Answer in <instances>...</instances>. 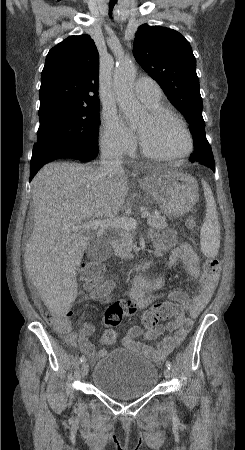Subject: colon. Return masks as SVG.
Here are the masks:
<instances>
[{
    "label": "colon",
    "mask_w": 245,
    "mask_h": 450,
    "mask_svg": "<svg viewBox=\"0 0 245 450\" xmlns=\"http://www.w3.org/2000/svg\"><path fill=\"white\" fill-rule=\"evenodd\" d=\"M191 229L195 228L193 221L188 223ZM205 269L209 274H217L220 270V261L217 258H209L205 262ZM104 271V266L99 261H88L83 264L78 273V278L90 288H96L101 285L100 276ZM135 312V307L131 301H115L109 305L104 313V325L106 330L103 338L106 343H113L116 340V334L112 328L118 326L124 316ZM45 320L59 331H67L71 326V312H53L45 311L43 313ZM142 325L146 329L155 328L160 322L173 320L182 322L185 320V312L181 305L164 301L155 304L147 309L141 317Z\"/></svg>",
    "instance_id": "5ec220e1"
}]
</instances>
